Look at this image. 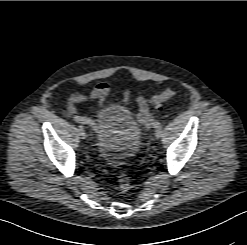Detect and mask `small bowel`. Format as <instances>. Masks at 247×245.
<instances>
[{
    "instance_id": "1",
    "label": "small bowel",
    "mask_w": 247,
    "mask_h": 245,
    "mask_svg": "<svg viewBox=\"0 0 247 245\" xmlns=\"http://www.w3.org/2000/svg\"><path fill=\"white\" fill-rule=\"evenodd\" d=\"M110 92V86L106 82H100L96 84L88 93L81 91L73 92L69 95L66 100L65 107L69 115L77 117L78 111L76 109V104L95 100L98 102L100 107H103L106 97ZM131 96L130 90H126L123 94L122 102L127 104ZM138 105V112L135 115V119L140 124L149 128L154 120L153 114L150 111L149 104L146 98L139 95L136 98Z\"/></svg>"
}]
</instances>
